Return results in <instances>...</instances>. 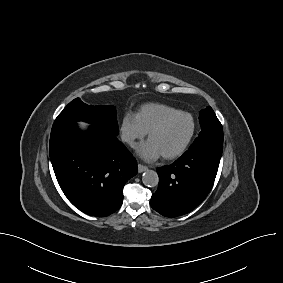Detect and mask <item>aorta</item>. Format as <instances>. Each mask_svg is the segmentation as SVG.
Returning <instances> with one entry per match:
<instances>
[{
  "instance_id": "aorta-1",
  "label": "aorta",
  "mask_w": 283,
  "mask_h": 283,
  "mask_svg": "<svg viewBox=\"0 0 283 283\" xmlns=\"http://www.w3.org/2000/svg\"><path fill=\"white\" fill-rule=\"evenodd\" d=\"M142 182L145 186L155 187L158 185V174L153 170H147L143 173Z\"/></svg>"
}]
</instances>
